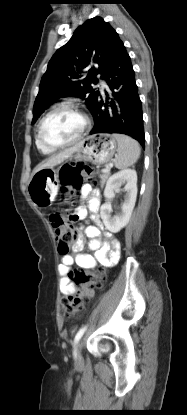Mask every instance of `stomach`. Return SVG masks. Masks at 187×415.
Instances as JSON below:
<instances>
[{"mask_svg": "<svg viewBox=\"0 0 187 415\" xmlns=\"http://www.w3.org/2000/svg\"><path fill=\"white\" fill-rule=\"evenodd\" d=\"M117 151V141L109 133H99L87 137L80 142V148L71 160L89 161L93 164L110 162ZM57 170L54 167L44 168L34 173L28 184V194L37 207H46L54 201L57 186Z\"/></svg>", "mask_w": 187, "mask_h": 415, "instance_id": "1", "label": "stomach"}]
</instances>
